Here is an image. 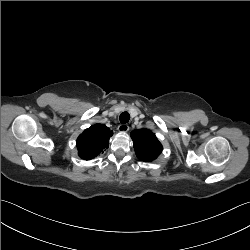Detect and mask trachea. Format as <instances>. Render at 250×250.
Returning <instances> with one entry per match:
<instances>
[{
	"label": "trachea",
	"mask_w": 250,
	"mask_h": 250,
	"mask_svg": "<svg viewBox=\"0 0 250 250\" xmlns=\"http://www.w3.org/2000/svg\"><path fill=\"white\" fill-rule=\"evenodd\" d=\"M129 120H130V115L128 112L125 111V112L120 114V122L122 124L127 123Z\"/></svg>",
	"instance_id": "3493384b"
}]
</instances>
